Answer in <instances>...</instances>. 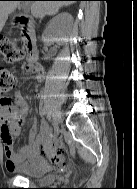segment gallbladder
<instances>
[{"label":"gallbladder","mask_w":137,"mask_h":189,"mask_svg":"<svg viewBox=\"0 0 137 189\" xmlns=\"http://www.w3.org/2000/svg\"><path fill=\"white\" fill-rule=\"evenodd\" d=\"M18 8L19 9L27 8V4H21Z\"/></svg>","instance_id":"gallbladder-1"}]
</instances>
